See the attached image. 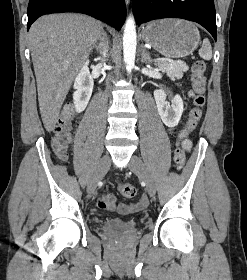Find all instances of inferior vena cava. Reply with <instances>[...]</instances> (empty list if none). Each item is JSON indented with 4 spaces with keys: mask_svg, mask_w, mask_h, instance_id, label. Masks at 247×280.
<instances>
[{
    "mask_svg": "<svg viewBox=\"0 0 247 280\" xmlns=\"http://www.w3.org/2000/svg\"><path fill=\"white\" fill-rule=\"evenodd\" d=\"M101 40L104 42V34H103V37L101 38ZM104 44V43H103ZM107 48H108V46L107 45H103V57L105 58L106 57V55H107Z\"/></svg>",
    "mask_w": 247,
    "mask_h": 280,
    "instance_id": "1",
    "label": "inferior vena cava"
}]
</instances>
